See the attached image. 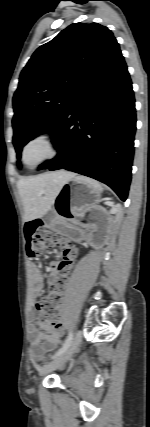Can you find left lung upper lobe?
I'll return each instance as SVG.
<instances>
[{
    "mask_svg": "<svg viewBox=\"0 0 150 427\" xmlns=\"http://www.w3.org/2000/svg\"><path fill=\"white\" fill-rule=\"evenodd\" d=\"M118 49L107 27L73 23L34 52L13 97V144L18 158L36 135L53 134L84 85Z\"/></svg>",
    "mask_w": 150,
    "mask_h": 427,
    "instance_id": "left-lung-upper-lobe-1",
    "label": "left lung upper lobe"
}]
</instances>
